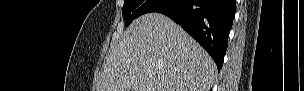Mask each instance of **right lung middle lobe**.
<instances>
[{"label": "right lung middle lobe", "mask_w": 304, "mask_h": 91, "mask_svg": "<svg viewBox=\"0 0 304 91\" xmlns=\"http://www.w3.org/2000/svg\"><path fill=\"white\" fill-rule=\"evenodd\" d=\"M156 0H124L123 18L128 26L135 18L148 12Z\"/></svg>", "instance_id": "right-lung-middle-lobe-1"}]
</instances>
